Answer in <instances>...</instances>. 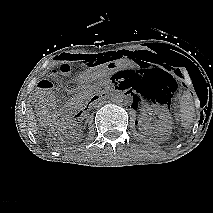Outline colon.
Segmentation results:
<instances>
[{
  "mask_svg": "<svg viewBox=\"0 0 213 213\" xmlns=\"http://www.w3.org/2000/svg\"><path fill=\"white\" fill-rule=\"evenodd\" d=\"M72 71V68L69 64H62L58 70L55 72L62 73L64 75H69ZM39 103L42 113H48L53 109L54 98L52 95L53 85L47 80H43L39 83Z\"/></svg>",
  "mask_w": 213,
  "mask_h": 213,
  "instance_id": "1",
  "label": "colon"
}]
</instances>
